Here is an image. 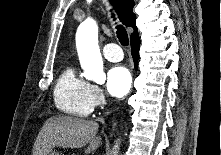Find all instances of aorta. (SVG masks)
<instances>
[{
    "instance_id": "aorta-1",
    "label": "aorta",
    "mask_w": 221,
    "mask_h": 155,
    "mask_svg": "<svg viewBox=\"0 0 221 155\" xmlns=\"http://www.w3.org/2000/svg\"><path fill=\"white\" fill-rule=\"evenodd\" d=\"M76 47L84 77L99 84L104 83L106 75L98 45V26L94 20L87 19L80 24L76 33Z\"/></svg>"
}]
</instances>
